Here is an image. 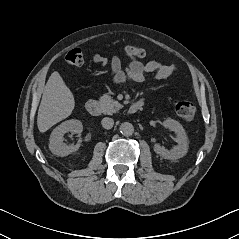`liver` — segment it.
Listing matches in <instances>:
<instances>
[{
    "mask_svg": "<svg viewBox=\"0 0 239 239\" xmlns=\"http://www.w3.org/2000/svg\"><path fill=\"white\" fill-rule=\"evenodd\" d=\"M75 106L72 92L60 74L55 71L49 77L38 109L37 126L41 133L71 115Z\"/></svg>",
    "mask_w": 239,
    "mask_h": 239,
    "instance_id": "1",
    "label": "liver"
}]
</instances>
